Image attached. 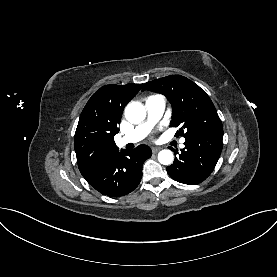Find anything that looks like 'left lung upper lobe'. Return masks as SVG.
Returning <instances> with one entry per match:
<instances>
[{
  "label": "left lung upper lobe",
  "instance_id": "5c2ea615",
  "mask_svg": "<svg viewBox=\"0 0 277 277\" xmlns=\"http://www.w3.org/2000/svg\"><path fill=\"white\" fill-rule=\"evenodd\" d=\"M161 93L173 109L171 127L185 139L202 133L223 130L211 99L197 84L181 75H170L144 84L143 90ZM184 130L186 133H184Z\"/></svg>",
  "mask_w": 277,
  "mask_h": 277
}]
</instances>
